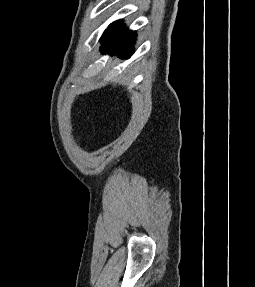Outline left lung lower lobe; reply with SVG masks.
I'll list each match as a JSON object with an SVG mask.
<instances>
[{
	"label": "left lung lower lobe",
	"mask_w": 255,
	"mask_h": 287,
	"mask_svg": "<svg viewBox=\"0 0 255 287\" xmlns=\"http://www.w3.org/2000/svg\"><path fill=\"white\" fill-rule=\"evenodd\" d=\"M124 26L119 21L108 26L101 37L103 52L122 57H130L133 54L136 32L125 30Z\"/></svg>",
	"instance_id": "left-lung-lower-lobe-1"
}]
</instances>
